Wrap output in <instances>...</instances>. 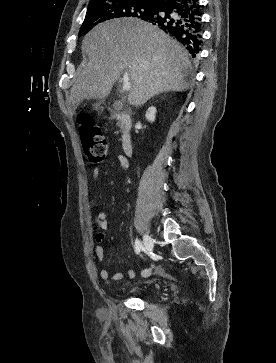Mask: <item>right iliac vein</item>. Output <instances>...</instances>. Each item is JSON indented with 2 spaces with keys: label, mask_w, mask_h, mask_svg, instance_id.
Segmentation results:
<instances>
[{
  "label": "right iliac vein",
  "mask_w": 276,
  "mask_h": 363,
  "mask_svg": "<svg viewBox=\"0 0 276 363\" xmlns=\"http://www.w3.org/2000/svg\"><path fill=\"white\" fill-rule=\"evenodd\" d=\"M143 243H144L145 251L147 253L152 252L153 246H154V240L152 239V237L149 236L148 234H144Z\"/></svg>",
  "instance_id": "right-iliac-vein-1"
}]
</instances>
